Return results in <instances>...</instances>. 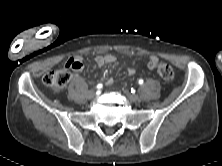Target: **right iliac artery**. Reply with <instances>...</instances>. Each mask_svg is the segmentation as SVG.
I'll list each match as a JSON object with an SVG mask.
<instances>
[{"instance_id": "82829eb1", "label": "right iliac artery", "mask_w": 222, "mask_h": 166, "mask_svg": "<svg viewBox=\"0 0 222 166\" xmlns=\"http://www.w3.org/2000/svg\"><path fill=\"white\" fill-rule=\"evenodd\" d=\"M96 88H97V89L102 88V84H98V85L96 86Z\"/></svg>"}]
</instances>
